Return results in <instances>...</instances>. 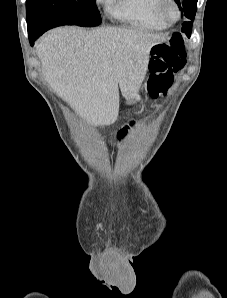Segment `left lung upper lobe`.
<instances>
[{
  "label": "left lung upper lobe",
  "instance_id": "left-lung-upper-lobe-1",
  "mask_svg": "<svg viewBox=\"0 0 227 298\" xmlns=\"http://www.w3.org/2000/svg\"><path fill=\"white\" fill-rule=\"evenodd\" d=\"M197 1L198 0H175L182 16L190 19V21L183 22L181 29L188 38H190L192 32V24L197 10Z\"/></svg>",
  "mask_w": 227,
  "mask_h": 298
}]
</instances>
